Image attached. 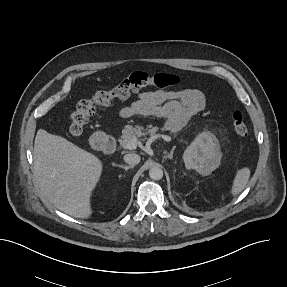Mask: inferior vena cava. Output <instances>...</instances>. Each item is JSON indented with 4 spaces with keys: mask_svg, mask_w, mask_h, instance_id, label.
Wrapping results in <instances>:
<instances>
[{
    "mask_svg": "<svg viewBox=\"0 0 287 287\" xmlns=\"http://www.w3.org/2000/svg\"><path fill=\"white\" fill-rule=\"evenodd\" d=\"M124 161L131 166H134L140 162V156L138 154L130 153L124 156Z\"/></svg>",
    "mask_w": 287,
    "mask_h": 287,
    "instance_id": "inferior-vena-cava-1",
    "label": "inferior vena cava"
}]
</instances>
